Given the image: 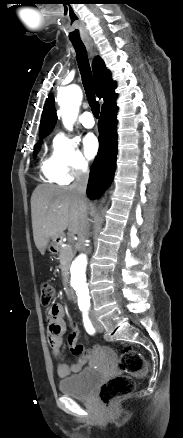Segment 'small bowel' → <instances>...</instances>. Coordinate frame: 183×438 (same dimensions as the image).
I'll use <instances>...</instances> for the list:
<instances>
[{"instance_id":"c3829d8e","label":"small bowel","mask_w":183,"mask_h":438,"mask_svg":"<svg viewBox=\"0 0 183 438\" xmlns=\"http://www.w3.org/2000/svg\"><path fill=\"white\" fill-rule=\"evenodd\" d=\"M47 337L51 347L52 355L59 360L56 365L57 374L60 377H66L71 373L79 372L98 352L99 345L90 349H85L82 345L77 344V329L76 325H72V330L69 335V347L71 352L77 356V360L73 364L64 362L62 354L63 334L65 331L64 309L59 304H53L47 310Z\"/></svg>"}]
</instances>
